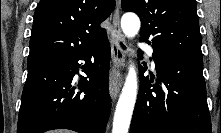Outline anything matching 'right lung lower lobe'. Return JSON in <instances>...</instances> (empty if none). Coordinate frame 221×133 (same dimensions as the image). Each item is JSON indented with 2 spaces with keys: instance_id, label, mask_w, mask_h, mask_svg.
<instances>
[{
  "instance_id": "98d812e1",
  "label": "right lung lower lobe",
  "mask_w": 221,
  "mask_h": 133,
  "mask_svg": "<svg viewBox=\"0 0 221 133\" xmlns=\"http://www.w3.org/2000/svg\"><path fill=\"white\" fill-rule=\"evenodd\" d=\"M110 55L105 36L81 53L29 63L17 133H42L61 128L79 133H105L111 110ZM79 60L86 61L85 68ZM80 68H84L87 77L81 76L80 91H75L73 77Z\"/></svg>"
}]
</instances>
